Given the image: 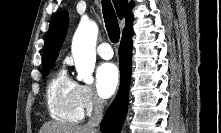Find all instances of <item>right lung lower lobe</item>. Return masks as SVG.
Masks as SVG:
<instances>
[{"instance_id": "obj_1", "label": "right lung lower lobe", "mask_w": 221, "mask_h": 133, "mask_svg": "<svg viewBox=\"0 0 221 133\" xmlns=\"http://www.w3.org/2000/svg\"><path fill=\"white\" fill-rule=\"evenodd\" d=\"M133 31L123 35L119 48L120 89L101 122L102 133H119L127 114L132 69Z\"/></svg>"}]
</instances>
